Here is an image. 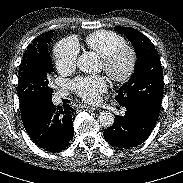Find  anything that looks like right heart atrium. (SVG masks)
I'll list each match as a JSON object with an SVG mask.
<instances>
[{"label":"right heart atrium","mask_w":183,"mask_h":183,"mask_svg":"<svg viewBox=\"0 0 183 183\" xmlns=\"http://www.w3.org/2000/svg\"><path fill=\"white\" fill-rule=\"evenodd\" d=\"M54 55L57 69L63 73L70 72L76 66L79 47L73 39L66 38L57 43Z\"/></svg>","instance_id":"d8ad5b80"}]
</instances>
